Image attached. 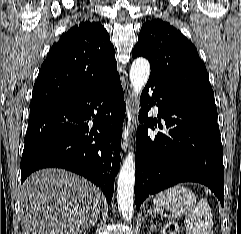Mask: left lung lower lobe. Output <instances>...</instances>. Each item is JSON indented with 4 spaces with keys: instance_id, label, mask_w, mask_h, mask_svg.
Instances as JSON below:
<instances>
[{
    "instance_id": "left-lung-lower-lobe-1",
    "label": "left lung lower lobe",
    "mask_w": 241,
    "mask_h": 234,
    "mask_svg": "<svg viewBox=\"0 0 241 234\" xmlns=\"http://www.w3.org/2000/svg\"><path fill=\"white\" fill-rule=\"evenodd\" d=\"M140 102L139 118L145 126L138 128L136 137V207L149 195L185 181L206 185L224 205L223 147L216 105L152 77ZM154 104L158 120L148 118ZM157 124L167 132L149 135L147 128Z\"/></svg>"
}]
</instances>
